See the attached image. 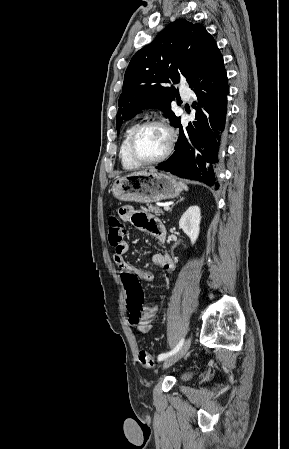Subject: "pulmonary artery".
I'll return each mask as SVG.
<instances>
[{"label":"pulmonary artery","instance_id":"obj_1","mask_svg":"<svg viewBox=\"0 0 289 449\" xmlns=\"http://www.w3.org/2000/svg\"><path fill=\"white\" fill-rule=\"evenodd\" d=\"M182 95L184 96V98L189 99L191 97V91L188 89H184L182 90Z\"/></svg>","mask_w":289,"mask_h":449}]
</instances>
